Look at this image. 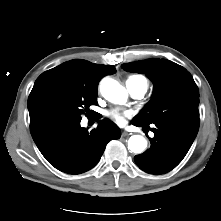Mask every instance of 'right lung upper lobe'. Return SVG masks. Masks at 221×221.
I'll use <instances>...</instances> for the list:
<instances>
[{
	"label": "right lung upper lobe",
	"instance_id": "cb5924a9",
	"mask_svg": "<svg viewBox=\"0 0 221 221\" xmlns=\"http://www.w3.org/2000/svg\"><path fill=\"white\" fill-rule=\"evenodd\" d=\"M115 72L114 66L98 65L86 60L74 59L42 73L35 81L28 98L30 124L37 123L47 117L44 100L50 90L63 84L97 90L101 78Z\"/></svg>",
	"mask_w": 221,
	"mask_h": 221
}]
</instances>
